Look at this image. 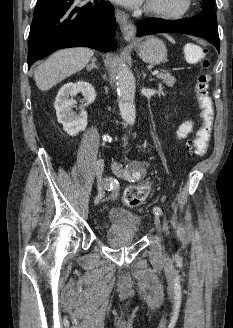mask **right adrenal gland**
Returning a JSON list of instances; mask_svg holds the SVG:
<instances>
[{
    "mask_svg": "<svg viewBox=\"0 0 233 328\" xmlns=\"http://www.w3.org/2000/svg\"><path fill=\"white\" fill-rule=\"evenodd\" d=\"M95 61H96V58L93 57L91 60V64L87 65V67H86L87 71H91V69H93V68L98 69V66L95 64Z\"/></svg>",
    "mask_w": 233,
    "mask_h": 328,
    "instance_id": "obj_1",
    "label": "right adrenal gland"
}]
</instances>
